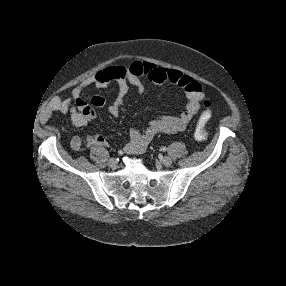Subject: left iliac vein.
I'll return each instance as SVG.
<instances>
[{
  "label": "left iliac vein",
  "instance_id": "4c4485c4",
  "mask_svg": "<svg viewBox=\"0 0 286 286\" xmlns=\"http://www.w3.org/2000/svg\"><path fill=\"white\" fill-rule=\"evenodd\" d=\"M172 162H173L172 159L170 157H168V156H165V157L162 158V163L164 165L169 166V165L172 164Z\"/></svg>",
  "mask_w": 286,
  "mask_h": 286
}]
</instances>
